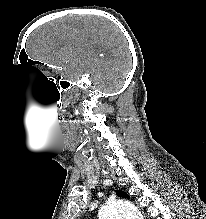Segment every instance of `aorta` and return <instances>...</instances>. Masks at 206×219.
<instances>
[{
    "label": "aorta",
    "mask_w": 206,
    "mask_h": 219,
    "mask_svg": "<svg viewBox=\"0 0 206 219\" xmlns=\"http://www.w3.org/2000/svg\"><path fill=\"white\" fill-rule=\"evenodd\" d=\"M99 219H144V217L131 202L116 200L101 207Z\"/></svg>",
    "instance_id": "762f6f07"
}]
</instances>
